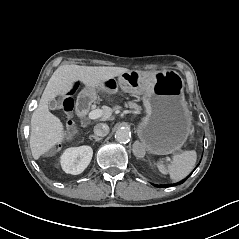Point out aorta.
Masks as SVG:
<instances>
[{"instance_id":"762f6f07","label":"aorta","mask_w":239,"mask_h":239,"mask_svg":"<svg viewBox=\"0 0 239 239\" xmlns=\"http://www.w3.org/2000/svg\"><path fill=\"white\" fill-rule=\"evenodd\" d=\"M115 139L119 143H128L131 139V132L128 129H118L115 132Z\"/></svg>"}]
</instances>
